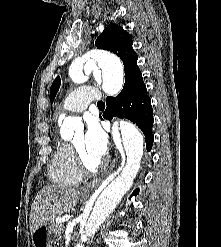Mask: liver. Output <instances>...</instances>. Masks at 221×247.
Segmentation results:
<instances>
[{"mask_svg": "<svg viewBox=\"0 0 221 247\" xmlns=\"http://www.w3.org/2000/svg\"><path fill=\"white\" fill-rule=\"evenodd\" d=\"M79 197L80 192L71 187L51 185L43 187L31 207V232L69 212L77 204Z\"/></svg>", "mask_w": 221, "mask_h": 247, "instance_id": "liver-1", "label": "liver"}]
</instances>
